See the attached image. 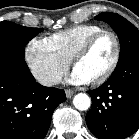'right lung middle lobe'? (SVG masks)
Returning a JSON list of instances; mask_svg holds the SVG:
<instances>
[{
  "label": "right lung middle lobe",
  "instance_id": "right-lung-middle-lobe-1",
  "mask_svg": "<svg viewBox=\"0 0 139 139\" xmlns=\"http://www.w3.org/2000/svg\"><path fill=\"white\" fill-rule=\"evenodd\" d=\"M41 31H43L41 28H29L10 21H2L0 50H10L24 56L25 45Z\"/></svg>",
  "mask_w": 139,
  "mask_h": 139
}]
</instances>
